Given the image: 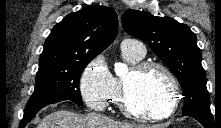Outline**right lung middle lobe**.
<instances>
[{
	"mask_svg": "<svg viewBox=\"0 0 221 128\" xmlns=\"http://www.w3.org/2000/svg\"><path fill=\"white\" fill-rule=\"evenodd\" d=\"M92 59L75 61L62 67L38 70L35 90L25 107V111L62 100H70L82 106L79 80L81 73Z\"/></svg>",
	"mask_w": 221,
	"mask_h": 128,
	"instance_id": "1",
	"label": "right lung middle lobe"
}]
</instances>
